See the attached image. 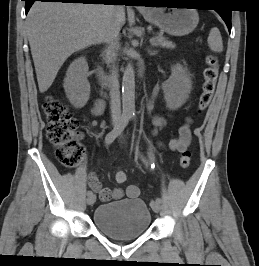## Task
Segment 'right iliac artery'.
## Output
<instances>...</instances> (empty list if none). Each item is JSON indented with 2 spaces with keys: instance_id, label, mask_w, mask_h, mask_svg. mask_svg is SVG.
<instances>
[{
  "instance_id": "obj_1",
  "label": "right iliac artery",
  "mask_w": 259,
  "mask_h": 266,
  "mask_svg": "<svg viewBox=\"0 0 259 266\" xmlns=\"http://www.w3.org/2000/svg\"><path fill=\"white\" fill-rule=\"evenodd\" d=\"M130 120L129 115H122L119 123L115 126V128L110 131L106 137H105V143L106 145H110L117 137L121 134V132L125 129V127L128 125ZM88 196L93 195L92 191L87 192Z\"/></svg>"
}]
</instances>
